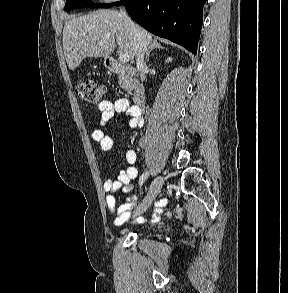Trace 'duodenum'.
<instances>
[{
    "instance_id": "duodenum-1",
    "label": "duodenum",
    "mask_w": 288,
    "mask_h": 293,
    "mask_svg": "<svg viewBox=\"0 0 288 293\" xmlns=\"http://www.w3.org/2000/svg\"><path fill=\"white\" fill-rule=\"evenodd\" d=\"M107 66L112 73L128 76V70L115 58H109L107 60ZM133 91L135 106L141 110L146 105L147 100L145 89L141 84L133 83Z\"/></svg>"
}]
</instances>
